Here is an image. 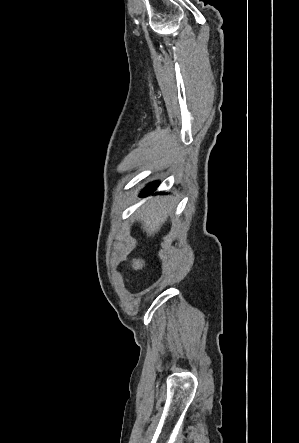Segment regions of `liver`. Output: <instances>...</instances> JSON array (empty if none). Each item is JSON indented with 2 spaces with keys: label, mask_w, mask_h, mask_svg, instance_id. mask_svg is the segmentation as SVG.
<instances>
[{
  "label": "liver",
  "mask_w": 299,
  "mask_h": 443,
  "mask_svg": "<svg viewBox=\"0 0 299 443\" xmlns=\"http://www.w3.org/2000/svg\"><path fill=\"white\" fill-rule=\"evenodd\" d=\"M173 208L174 206L166 197H156L145 204L140 221L147 236L154 235L160 231L168 216L172 214ZM144 265L145 261L142 259H133L132 261V268L134 270H140Z\"/></svg>",
  "instance_id": "obj_1"
}]
</instances>
